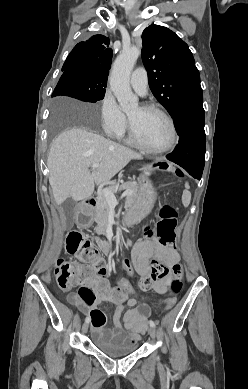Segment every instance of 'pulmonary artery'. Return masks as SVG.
Segmentation results:
<instances>
[{
	"label": "pulmonary artery",
	"mask_w": 248,
	"mask_h": 389,
	"mask_svg": "<svg viewBox=\"0 0 248 389\" xmlns=\"http://www.w3.org/2000/svg\"><path fill=\"white\" fill-rule=\"evenodd\" d=\"M130 84L137 93H139L140 95H145L148 87L146 69L143 67L137 68L131 74Z\"/></svg>",
	"instance_id": "pulmonary-artery-1"
}]
</instances>
